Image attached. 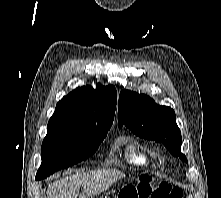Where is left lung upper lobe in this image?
<instances>
[{"label":"left lung upper lobe","mask_w":221,"mask_h":198,"mask_svg":"<svg viewBox=\"0 0 221 198\" xmlns=\"http://www.w3.org/2000/svg\"><path fill=\"white\" fill-rule=\"evenodd\" d=\"M118 125L127 126L141 138L163 143L173 156L187 162L181 153V132L170 107L157 105L147 95L123 90L119 96Z\"/></svg>","instance_id":"5c2ea615"}]
</instances>
